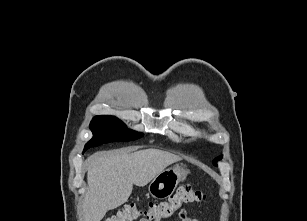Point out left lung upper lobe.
Returning a JSON list of instances; mask_svg holds the SVG:
<instances>
[{"label": "left lung upper lobe", "mask_w": 307, "mask_h": 221, "mask_svg": "<svg viewBox=\"0 0 307 221\" xmlns=\"http://www.w3.org/2000/svg\"><path fill=\"white\" fill-rule=\"evenodd\" d=\"M221 158H222V156H221V157H218V158L213 162V164H214L215 166H217L216 162H217L218 160H220Z\"/></svg>", "instance_id": "1"}]
</instances>
